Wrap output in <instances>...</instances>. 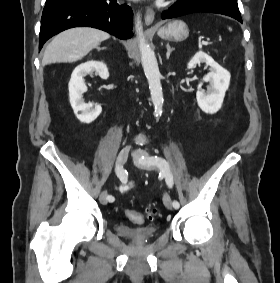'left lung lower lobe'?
<instances>
[{
    "instance_id": "0a47b994",
    "label": "left lung lower lobe",
    "mask_w": 280,
    "mask_h": 283,
    "mask_svg": "<svg viewBox=\"0 0 280 283\" xmlns=\"http://www.w3.org/2000/svg\"><path fill=\"white\" fill-rule=\"evenodd\" d=\"M196 12L223 14L230 16L242 23V18L239 11L209 0H178L168 10H165L161 14V18L170 19Z\"/></svg>"
}]
</instances>
